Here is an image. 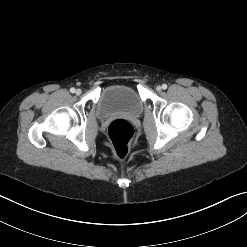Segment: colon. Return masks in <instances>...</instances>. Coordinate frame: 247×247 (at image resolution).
Returning <instances> with one entry per match:
<instances>
[{"label":"colon","mask_w":247,"mask_h":247,"mask_svg":"<svg viewBox=\"0 0 247 247\" xmlns=\"http://www.w3.org/2000/svg\"><path fill=\"white\" fill-rule=\"evenodd\" d=\"M107 137L114 156L118 159H124L128 156L135 141L134 128L130 122L118 119L109 125Z\"/></svg>","instance_id":"colon-1"}]
</instances>
